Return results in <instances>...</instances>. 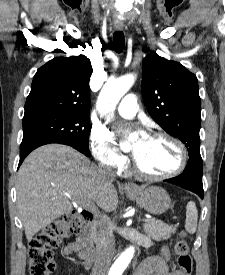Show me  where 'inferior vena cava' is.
Here are the masks:
<instances>
[{"instance_id":"602c4592","label":"inferior vena cava","mask_w":225,"mask_h":275,"mask_svg":"<svg viewBox=\"0 0 225 275\" xmlns=\"http://www.w3.org/2000/svg\"><path fill=\"white\" fill-rule=\"evenodd\" d=\"M103 174L112 181L115 177L110 169H102ZM109 218L106 216L99 222V230L96 238V259L91 275H107L114 255V237L112 229L108 226Z\"/></svg>"}]
</instances>
